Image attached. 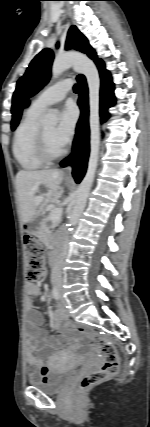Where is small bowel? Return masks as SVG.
Masks as SVG:
<instances>
[{"mask_svg": "<svg viewBox=\"0 0 150 427\" xmlns=\"http://www.w3.org/2000/svg\"><path fill=\"white\" fill-rule=\"evenodd\" d=\"M28 294L33 297L39 296L41 294L39 286L35 284L29 285ZM66 317V308L57 305L52 318V327L56 331H61V334L58 336L49 335L42 328L44 323L43 314L35 309L31 303L28 304L25 354L27 364L33 368L30 373L31 377L46 379L56 364L68 356V348L76 345L69 332L76 331L78 324L71 319H66ZM58 350H61V352L56 353ZM36 351H41L48 357V365L44 364L43 359L36 354Z\"/></svg>", "mask_w": 150, "mask_h": 427, "instance_id": "obj_1", "label": "small bowel"}]
</instances>
